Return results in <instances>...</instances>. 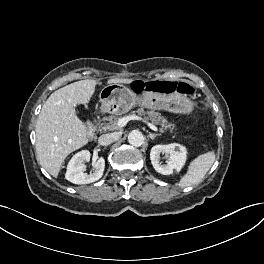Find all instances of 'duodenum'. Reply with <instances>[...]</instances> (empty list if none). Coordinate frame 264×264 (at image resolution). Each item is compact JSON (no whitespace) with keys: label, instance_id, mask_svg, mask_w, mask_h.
Returning <instances> with one entry per match:
<instances>
[{"label":"duodenum","instance_id":"duodenum-1","mask_svg":"<svg viewBox=\"0 0 264 264\" xmlns=\"http://www.w3.org/2000/svg\"><path fill=\"white\" fill-rule=\"evenodd\" d=\"M94 133H95V126L93 123H90L87 131L88 137L92 138L94 136Z\"/></svg>","mask_w":264,"mask_h":264}]
</instances>
